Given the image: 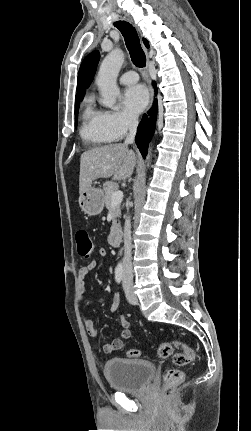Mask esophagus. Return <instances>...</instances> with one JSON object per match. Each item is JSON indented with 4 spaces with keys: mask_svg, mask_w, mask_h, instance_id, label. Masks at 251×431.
I'll list each match as a JSON object with an SVG mask.
<instances>
[{
    "mask_svg": "<svg viewBox=\"0 0 251 431\" xmlns=\"http://www.w3.org/2000/svg\"><path fill=\"white\" fill-rule=\"evenodd\" d=\"M145 51H146V53H147V50H146V49H145ZM148 61H149V59H148ZM153 98H154V92H153V89H152V88H150V105H149L148 110H149V109L151 108V106H152Z\"/></svg>",
    "mask_w": 251,
    "mask_h": 431,
    "instance_id": "esophagus-1",
    "label": "esophagus"
}]
</instances>
